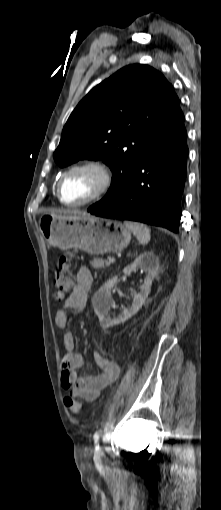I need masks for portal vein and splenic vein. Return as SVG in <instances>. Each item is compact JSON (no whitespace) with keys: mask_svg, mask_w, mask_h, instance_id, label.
I'll return each instance as SVG.
<instances>
[{"mask_svg":"<svg viewBox=\"0 0 221 510\" xmlns=\"http://www.w3.org/2000/svg\"><path fill=\"white\" fill-rule=\"evenodd\" d=\"M113 262H115V258L114 257L110 258L109 261L107 262V264H111Z\"/></svg>","mask_w":221,"mask_h":510,"instance_id":"obj_1","label":"portal vein and splenic vein"}]
</instances>
